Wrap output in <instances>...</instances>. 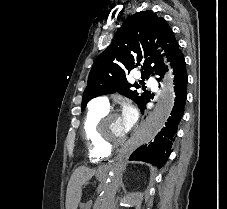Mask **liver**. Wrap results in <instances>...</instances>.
Returning <instances> with one entry per match:
<instances>
[{
  "instance_id": "1",
  "label": "liver",
  "mask_w": 227,
  "mask_h": 209,
  "mask_svg": "<svg viewBox=\"0 0 227 209\" xmlns=\"http://www.w3.org/2000/svg\"><path fill=\"white\" fill-rule=\"evenodd\" d=\"M94 173L95 171H92V169H86V167H78V169L74 171L67 187L66 209H77L82 195L80 185L81 183H84V181H89Z\"/></svg>"
}]
</instances>
